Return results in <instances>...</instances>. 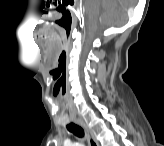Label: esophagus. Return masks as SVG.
Listing matches in <instances>:
<instances>
[{"label": "esophagus", "instance_id": "1", "mask_svg": "<svg viewBox=\"0 0 164 146\" xmlns=\"http://www.w3.org/2000/svg\"><path fill=\"white\" fill-rule=\"evenodd\" d=\"M74 122L84 130L89 146H99L93 132L88 128L84 120L77 118L74 119Z\"/></svg>", "mask_w": 164, "mask_h": 146}]
</instances>
